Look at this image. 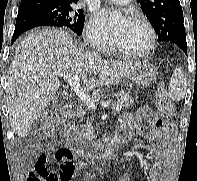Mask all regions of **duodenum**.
Segmentation results:
<instances>
[{"instance_id": "duodenum-1", "label": "duodenum", "mask_w": 197, "mask_h": 181, "mask_svg": "<svg viewBox=\"0 0 197 181\" xmlns=\"http://www.w3.org/2000/svg\"><path fill=\"white\" fill-rule=\"evenodd\" d=\"M73 116L74 114L70 109L66 110V117L68 119L69 125H71ZM126 140L127 138L121 135L119 132V134L113 139V141L109 145H103L98 147L88 146L85 149L75 148V150L79 155L90 153L100 159H108L112 156L113 152L117 151L121 144H123Z\"/></svg>"}]
</instances>
